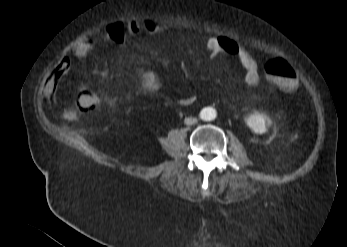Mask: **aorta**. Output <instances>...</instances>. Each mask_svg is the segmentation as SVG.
I'll return each instance as SVG.
<instances>
[{
    "instance_id": "obj_1",
    "label": "aorta",
    "mask_w": 347,
    "mask_h": 247,
    "mask_svg": "<svg viewBox=\"0 0 347 247\" xmlns=\"http://www.w3.org/2000/svg\"><path fill=\"white\" fill-rule=\"evenodd\" d=\"M216 117V112L212 108H205L200 113V118L205 121L214 120Z\"/></svg>"
}]
</instances>
